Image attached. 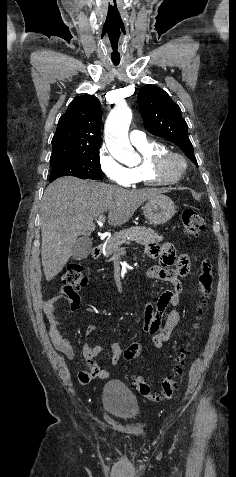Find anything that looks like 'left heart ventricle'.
Segmentation results:
<instances>
[{
    "label": "left heart ventricle",
    "mask_w": 236,
    "mask_h": 477,
    "mask_svg": "<svg viewBox=\"0 0 236 477\" xmlns=\"http://www.w3.org/2000/svg\"><path fill=\"white\" fill-rule=\"evenodd\" d=\"M179 168V164L177 162H171L168 165V171H176Z\"/></svg>",
    "instance_id": "obj_1"
}]
</instances>
